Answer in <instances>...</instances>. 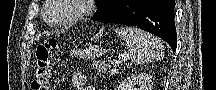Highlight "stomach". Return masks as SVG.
<instances>
[{
	"instance_id": "0dacf381",
	"label": "stomach",
	"mask_w": 216,
	"mask_h": 90,
	"mask_svg": "<svg viewBox=\"0 0 216 90\" xmlns=\"http://www.w3.org/2000/svg\"><path fill=\"white\" fill-rule=\"evenodd\" d=\"M105 49L101 46H90L89 48H87L86 50H81L78 52V56H80L81 58H98L100 56H102L105 53Z\"/></svg>"
}]
</instances>
